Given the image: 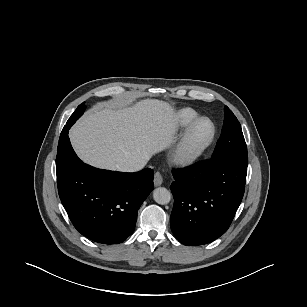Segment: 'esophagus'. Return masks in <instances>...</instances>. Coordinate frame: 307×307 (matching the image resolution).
I'll use <instances>...</instances> for the list:
<instances>
[{
	"instance_id": "34e87169",
	"label": "esophagus",
	"mask_w": 307,
	"mask_h": 307,
	"mask_svg": "<svg viewBox=\"0 0 307 307\" xmlns=\"http://www.w3.org/2000/svg\"><path fill=\"white\" fill-rule=\"evenodd\" d=\"M153 182H154V185H155L156 187H158V186H160V185L162 184L163 178H162V175H161L160 172H156V173L154 174V180H153Z\"/></svg>"
}]
</instances>
